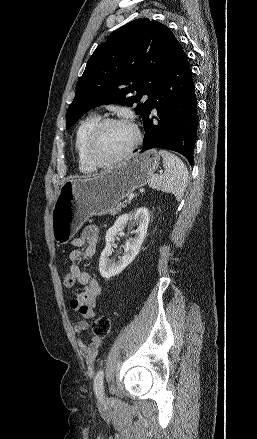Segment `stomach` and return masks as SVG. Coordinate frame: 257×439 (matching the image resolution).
<instances>
[{"label":"stomach","instance_id":"1","mask_svg":"<svg viewBox=\"0 0 257 439\" xmlns=\"http://www.w3.org/2000/svg\"><path fill=\"white\" fill-rule=\"evenodd\" d=\"M159 162V153L151 149L134 153L98 175L63 182L51 210L54 240L67 244L88 218L109 213L126 195L149 182Z\"/></svg>","mask_w":257,"mask_h":439}]
</instances>
